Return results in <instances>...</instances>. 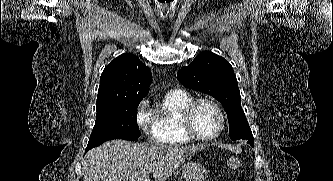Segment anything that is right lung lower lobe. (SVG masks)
Returning <instances> with one entry per match:
<instances>
[{
    "instance_id": "right-lung-lower-lobe-1",
    "label": "right lung lower lobe",
    "mask_w": 333,
    "mask_h": 181,
    "mask_svg": "<svg viewBox=\"0 0 333 181\" xmlns=\"http://www.w3.org/2000/svg\"><path fill=\"white\" fill-rule=\"evenodd\" d=\"M89 149H90V148H87V149H86V152H87Z\"/></svg>"
}]
</instances>
